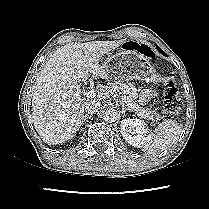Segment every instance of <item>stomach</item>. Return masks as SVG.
<instances>
[{"mask_svg":"<svg viewBox=\"0 0 209 209\" xmlns=\"http://www.w3.org/2000/svg\"><path fill=\"white\" fill-rule=\"evenodd\" d=\"M101 73L109 81L131 83L141 80L154 82L157 74L149 60L136 51H123L105 58L101 64Z\"/></svg>","mask_w":209,"mask_h":209,"instance_id":"obj_1","label":"stomach"}]
</instances>
